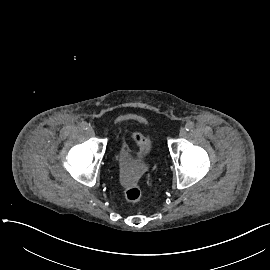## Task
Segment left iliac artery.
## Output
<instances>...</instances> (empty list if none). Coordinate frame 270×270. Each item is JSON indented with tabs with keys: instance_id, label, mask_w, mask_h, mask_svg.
I'll list each match as a JSON object with an SVG mask.
<instances>
[{
	"instance_id": "1",
	"label": "left iliac artery",
	"mask_w": 270,
	"mask_h": 270,
	"mask_svg": "<svg viewBox=\"0 0 270 270\" xmlns=\"http://www.w3.org/2000/svg\"><path fill=\"white\" fill-rule=\"evenodd\" d=\"M193 128H194L193 122L189 121V122L186 123L185 129H186L187 131H192Z\"/></svg>"
}]
</instances>
